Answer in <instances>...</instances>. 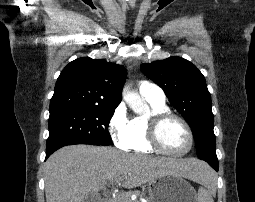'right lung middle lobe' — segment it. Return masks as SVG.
Here are the masks:
<instances>
[{
	"instance_id": "right-lung-middle-lobe-1",
	"label": "right lung middle lobe",
	"mask_w": 255,
	"mask_h": 202,
	"mask_svg": "<svg viewBox=\"0 0 255 202\" xmlns=\"http://www.w3.org/2000/svg\"><path fill=\"white\" fill-rule=\"evenodd\" d=\"M116 107H81L50 114L47 150L72 144L109 145V122Z\"/></svg>"
}]
</instances>
